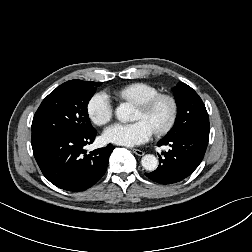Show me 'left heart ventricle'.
I'll list each match as a JSON object with an SVG mask.
<instances>
[{
  "label": "left heart ventricle",
  "instance_id": "1",
  "mask_svg": "<svg viewBox=\"0 0 252 252\" xmlns=\"http://www.w3.org/2000/svg\"><path fill=\"white\" fill-rule=\"evenodd\" d=\"M165 113H166L165 105L160 104L153 113V115L151 116H145L143 112L140 109H138L136 119L145 120L154 128L156 124H158L160 121L163 120Z\"/></svg>",
  "mask_w": 252,
  "mask_h": 252
}]
</instances>
